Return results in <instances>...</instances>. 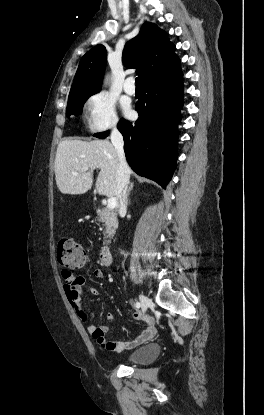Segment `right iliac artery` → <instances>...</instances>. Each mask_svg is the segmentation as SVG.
I'll list each match as a JSON object with an SVG mask.
<instances>
[{"label":"right iliac artery","instance_id":"right-iliac-artery-1","mask_svg":"<svg viewBox=\"0 0 264 415\" xmlns=\"http://www.w3.org/2000/svg\"><path fill=\"white\" fill-rule=\"evenodd\" d=\"M140 306H141V305H140V303H139V302H137V303H136V307H137V308H140Z\"/></svg>","mask_w":264,"mask_h":415}]
</instances>
